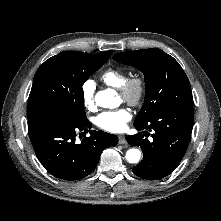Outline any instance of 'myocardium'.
Here are the masks:
<instances>
[{
	"label": "myocardium",
	"mask_w": 221,
	"mask_h": 221,
	"mask_svg": "<svg viewBox=\"0 0 221 221\" xmlns=\"http://www.w3.org/2000/svg\"><path fill=\"white\" fill-rule=\"evenodd\" d=\"M119 91L123 101L131 106H138L143 102L146 95L145 79L140 75L128 77Z\"/></svg>",
	"instance_id": "1"
}]
</instances>
